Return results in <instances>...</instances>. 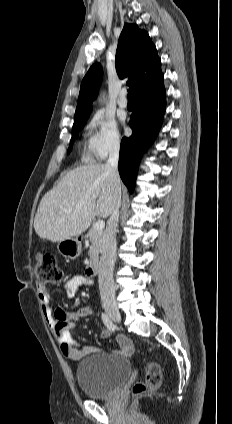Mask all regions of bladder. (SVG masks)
Returning <instances> with one entry per match:
<instances>
[{
  "label": "bladder",
  "mask_w": 232,
  "mask_h": 424,
  "mask_svg": "<svg viewBox=\"0 0 232 424\" xmlns=\"http://www.w3.org/2000/svg\"><path fill=\"white\" fill-rule=\"evenodd\" d=\"M131 373V364L125 357L92 354L78 364L76 381L88 398L103 399L113 395Z\"/></svg>",
  "instance_id": "1"
}]
</instances>
